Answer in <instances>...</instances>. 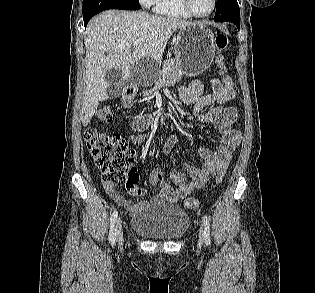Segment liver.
<instances>
[{
    "label": "liver",
    "mask_w": 315,
    "mask_h": 293,
    "mask_svg": "<svg viewBox=\"0 0 315 293\" xmlns=\"http://www.w3.org/2000/svg\"><path fill=\"white\" fill-rule=\"evenodd\" d=\"M193 23L198 22L141 11L108 10L94 17L84 35L86 86L80 114L83 126L89 124L99 102L109 98L108 70L118 68L128 78L131 64L142 57L161 62L171 35ZM135 41H139L137 46Z\"/></svg>",
    "instance_id": "6515ba94"
}]
</instances>
